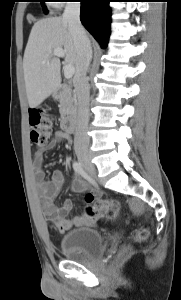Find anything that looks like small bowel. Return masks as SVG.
Segmentation results:
<instances>
[{
  "mask_svg": "<svg viewBox=\"0 0 181 300\" xmlns=\"http://www.w3.org/2000/svg\"><path fill=\"white\" fill-rule=\"evenodd\" d=\"M61 140H70V136L62 130L54 132L53 138L44 150H39L34 156L35 180L40 192L43 209L47 219L52 222L60 232H66L73 227L94 225L97 220L89 218L86 215H76L68 217L73 209V202L66 199L61 206L54 203L55 198L59 194L62 186L65 183V176L61 170H53L49 179H46V174L42 168L43 155L46 151L52 150L57 142ZM74 192H83L86 189V184L82 179L75 178L72 182ZM98 196V192H89L85 196L87 202L93 201Z\"/></svg>",
  "mask_w": 181,
  "mask_h": 300,
  "instance_id": "c3829d8e",
  "label": "small bowel"
}]
</instances>
